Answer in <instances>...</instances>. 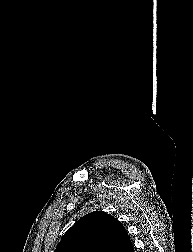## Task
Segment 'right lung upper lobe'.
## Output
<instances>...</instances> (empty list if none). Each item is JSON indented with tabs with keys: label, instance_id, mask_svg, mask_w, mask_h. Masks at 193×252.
<instances>
[{
	"label": "right lung upper lobe",
	"instance_id": "obj_1",
	"mask_svg": "<svg viewBox=\"0 0 193 252\" xmlns=\"http://www.w3.org/2000/svg\"><path fill=\"white\" fill-rule=\"evenodd\" d=\"M55 252H134V249L124 226L116 218L95 211L67 230Z\"/></svg>",
	"mask_w": 193,
	"mask_h": 252
}]
</instances>
